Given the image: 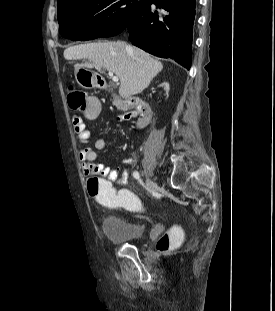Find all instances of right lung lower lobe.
<instances>
[{
    "label": "right lung lower lobe",
    "mask_w": 275,
    "mask_h": 311,
    "mask_svg": "<svg viewBox=\"0 0 275 311\" xmlns=\"http://www.w3.org/2000/svg\"><path fill=\"white\" fill-rule=\"evenodd\" d=\"M195 12L196 0H152L131 18L125 31L135 46L158 57L172 58L189 70ZM94 38L95 34H87L79 40Z\"/></svg>",
    "instance_id": "obj_1"
}]
</instances>
